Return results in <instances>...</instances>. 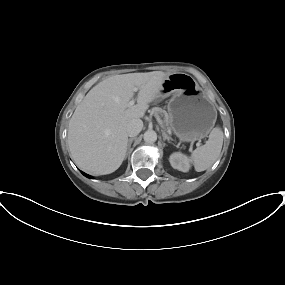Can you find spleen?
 <instances>
[{
    "label": "spleen",
    "instance_id": "spleen-1",
    "mask_svg": "<svg viewBox=\"0 0 285 285\" xmlns=\"http://www.w3.org/2000/svg\"><path fill=\"white\" fill-rule=\"evenodd\" d=\"M223 138L222 129L215 127L210 132L206 144L192 152L191 160L197 172L207 170L218 159L223 145Z\"/></svg>",
    "mask_w": 285,
    "mask_h": 285
}]
</instances>
